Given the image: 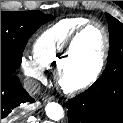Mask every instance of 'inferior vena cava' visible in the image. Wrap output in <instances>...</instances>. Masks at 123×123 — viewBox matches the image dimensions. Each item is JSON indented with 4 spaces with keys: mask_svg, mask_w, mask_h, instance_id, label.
I'll list each match as a JSON object with an SVG mask.
<instances>
[{
    "mask_svg": "<svg viewBox=\"0 0 123 123\" xmlns=\"http://www.w3.org/2000/svg\"><path fill=\"white\" fill-rule=\"evenodd\" d=\"M24 88L30 95H35L40 91V84L34 79L26 78L24 80Z\"/></svg>",
    "mask_w": 123,
    "mask_h": 123,
    "instance_id": "1",
    "label": "inferior vena cava"
}]
</instances>
